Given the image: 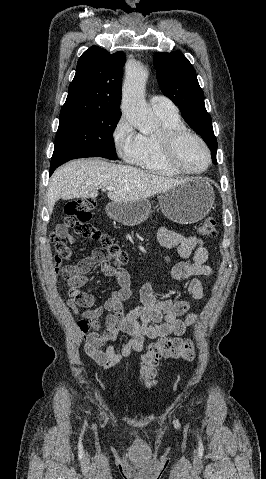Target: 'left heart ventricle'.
<instances>
[{"instance_id": "left-heart-ventricle-1", "label": "left heart ventricle", "mask_w": 266, "mask_h": 479, "mask_svg": "<svg viewBox=\"0 0 266 479\" xmlns=\"http://www.w3.org/2000/svg\"><path fill=\"white\" fill-rule=\"evenodd\" d=\"M177 159L188 170H200L207 163L202 145L193 137H185L177 147Z\"/></svg>"}]
</instances>
